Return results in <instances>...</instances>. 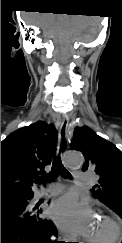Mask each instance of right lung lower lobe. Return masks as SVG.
<instances>
[{
  "instance_id": "obj_1",
  "label": "right lung lower lobe",
  "mask_w": 122,
  "mask_h": 243,
  "mask_svg": "<svg viewBox=\"0 0 122 243\" xmlns=\"http://www.w3.org/2000/svg\"><path fill=\"white\" fill-rule=\"evenodd\" d=\"M33 195L1 201V243H52L50 236L58 233L41 210L29 208Z\"/></svg>"
}]
</instances>
